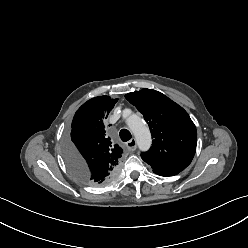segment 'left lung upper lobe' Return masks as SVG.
<instances>
[{"label":"left lung upper lobe","instance_id":"1","mask_svg":"<svg viewBox=\"0 0 248 248\" xmlns=\"http://www.w3.org/2000/svg\"><path fill=\"white\" fill-rule=\"evenodd\" d=\"M126 99L148 123L152 146L141 154L153 170H183L192 161L197 145V131L188 113L164 94L152 90L128 93Z\"/></svg>","mask_w":248,"mask_h":248}]
</instances>
